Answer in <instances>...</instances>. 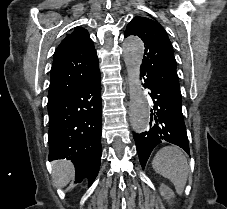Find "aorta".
I'll return each mask as SVG.
<instances>
[{
  "label": "aorta",
  "instance_id": "aorta-1",
  "mask_svg": "<svg viewBox=\"0 0 227 209\" xmlns=\"http://www.w3.org/2000/svg\"><path fill=\"white\" fill-rule=\"evenodd\" d=\"M124 61L130 76V122L136 133L144 132L149 125V107L140 87V66L144 44L137 37H129L123 44Z\"/></svg>",
  "mask_w": 227,
  "mask_h": 209
}]
</instances>
